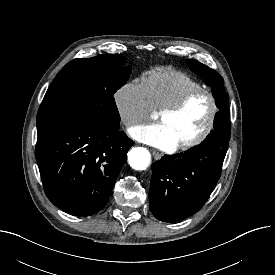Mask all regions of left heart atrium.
I'll return each mask as SVG.
<instances>
[{
    "label": "left heart atrium",
    "mask_w": 275,
    "mask_h": 275,
    "mask_svg": "<svg viewBox=\"0 0 275 275\" xmlns=\"http://www.w3.org/2000/svg\"><path fill=\"white\" fill-rule=\"evenodd\" d=\"M129 133L136 140L163 150H173L178 145L168 127L160 122L136 126Z\"/></svg>",
    "instance_id": "left-heart-atrium-1"
}]
</instances>
